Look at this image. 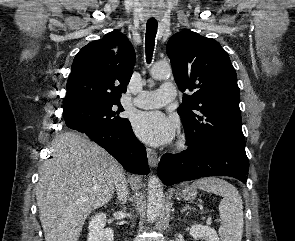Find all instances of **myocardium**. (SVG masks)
I'll return each instance as SVG.
<instances>
[{"label":"myocardium","mask_w":295,"mask_h":241,"mask_svg":"<svg viewBox=\"0 0 295 241\" xmlns=\"http://www.w3.org/2000/svg\"><path fill=\"white\" fill-rule=\"evenodd\" d=\"M177 149H178L179 151H184V150H186V149H187V143H186L184 140L180 141V142L177 144Z\"/></svg>","instance_id":"1"}]
</instances>
